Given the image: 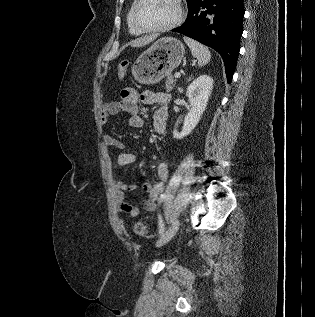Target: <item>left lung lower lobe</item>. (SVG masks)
Masks as SVG:
<instances>
[{
	"label": "left lung lower lobe",
	"mask_w": 315,
	"mask_h": 317,
	"mask_svg": "<svg viewBox=\"0 0 315 317\" xmlns=\"http://www.w3.org/2000/svg\"><path fill=\"white\" fill-rule=\"evenodd\" d=\"M244 0H192L186 21L173 29L216 50L231 83L243 32Z\"/></svg>",
	"instance_id": "obj_1"
}]
</instances>
